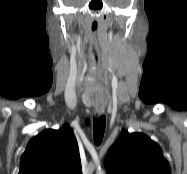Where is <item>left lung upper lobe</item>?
<instances>
[{
	"label": "left lung upper lobe",
	"instance_id": "5c2ea615",
	"mask_svg": "<svg viewBox=\"0 0 187 174\" xmlns=\"http://www.w3.org/2000/svg\"><path fill=\"white\" fill-rule=\"evenodd\" d=\"M107 174H171L160 146L142 133L122 131L108 151Z\"/></svg>",
	"mask_w": 187,
	"mask_h": 174
}]
</instances>
